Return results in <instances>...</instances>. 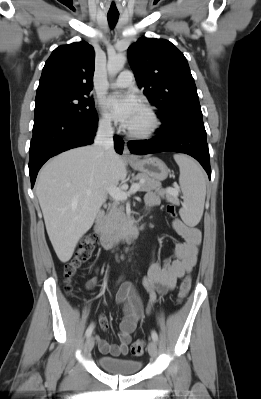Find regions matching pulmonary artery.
Instances as JSON below:
<instances>
[{
  "label": "pulmonary artery",
  "instance_id": "e3ab8cb5",
  "mask_svg": "<svg viewBox=\"0 0 261 399\" xmlns=\"http://www.w3.org/2000/svg\"><path fill=\"white\" fill-rule=\"evenodd\" d=\"M134 83L133 74L129 70L122 71L117 79L111 84L113 88H127Z\"/></svg>",
  "mask_w": 261,
  "mask_h": 399
}]
</instances>
